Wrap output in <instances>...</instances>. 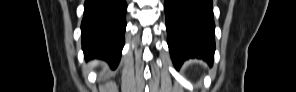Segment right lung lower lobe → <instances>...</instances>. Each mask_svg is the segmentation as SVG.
<instances>
[{
	"label": "right lung lower lobe",
	"mask_w": 296,
	"mask_h": 92,
	"mask_svg": "<svg viewBox=\"0 0 296 92\" xmlns=\"http://www.w3.org/2000/svg\"><path fill=\"white\" fill-rule=\"evenodd\" d=\"M125 0H86L81 24L86 59L100 58L116 67L124 46Z\"/></svg>",
	"instance_id": "1"
}]
</instances>
